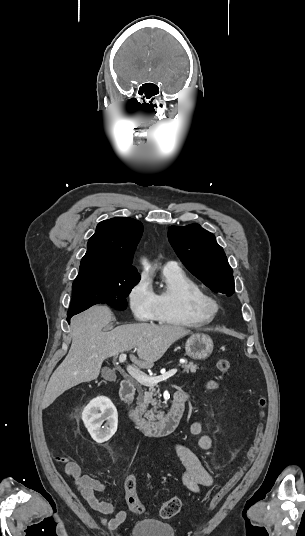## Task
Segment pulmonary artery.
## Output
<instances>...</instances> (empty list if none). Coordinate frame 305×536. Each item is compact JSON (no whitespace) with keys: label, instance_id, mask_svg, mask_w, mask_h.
Instances as JSON below:
<instances>
[{"label":"pulmonary artery","instance_id":"pulmonary-artery-1","mask_svg":"<svg viewBox=\"0 0 305 536\" xmlns=\"http://www.w3.org/2000/svg\"><path fill=\"white\" fill-rule=\"evenodd\" d=\"M172 267H176V263H174V262H167V263L164 265V268H172Z\"/></svg>","mask_w":305,"mask_h":536}]
</instances>
